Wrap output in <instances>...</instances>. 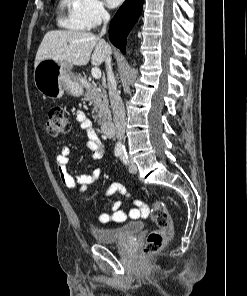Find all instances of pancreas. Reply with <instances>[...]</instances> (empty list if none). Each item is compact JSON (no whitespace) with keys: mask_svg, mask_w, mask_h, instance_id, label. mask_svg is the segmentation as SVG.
Returning a JSON list of instances; mask_svg holds the SVG:
<instances>
[{"mask_svg":"<svg viewBox=\"0 0 247 296\" xmlns=\"http://www.w3.org/2000/svg\"><path fill=\"white\" fill-rule=\"evenodd\" d=\"M85 100L93 104V119L94 122L101 125L106 119L110 118L109 103L106 90L94 84L86 87Z\"/></svg>","mask_w":247,"mask_h":296,"instance_id":"1","label":"pancreas"}]
</instances>
